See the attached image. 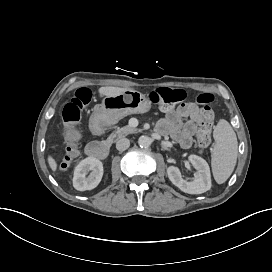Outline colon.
Returning <instances> with one entry per match:
<instances>
[{"instance_id": "1", "label": "colon", "mask_w": 272, "mask_h": 272, "mask_svg": "<svg viewBox=\"0 0 272 272\" xmlns=\"http://www.w3.org/2000/svg\"><path fill=\"white\" fill-rule=\"evenodd\" d=\"M90 95V90L81 88L64 106L62 122L65 125L63 128V133L65 134L63 137V145L66 152L64 160L60 165L63 169L69 166L70 161H74L79 156L76 137L74 136L76 133L75 126L80 123L83 109L91 99ZM182 98L183 95L181 91L169 88H159L150 93V99L157 109H162L164 105L171 107L173 103L182 100ZM214 100L215 97L211 93L200 94L195 100L200 107L202 129L197 135V141L202 149L209 147L210 131L214 122V112L212 109Z\"/></svg>"}]
</instances>
